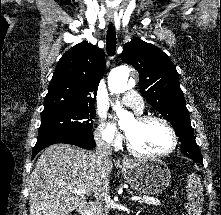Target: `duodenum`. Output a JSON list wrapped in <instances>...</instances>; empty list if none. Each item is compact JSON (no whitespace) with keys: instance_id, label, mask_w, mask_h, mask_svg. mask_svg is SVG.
<instances>
[{"instance_id":"410a0bca","label":"duodenum","mask_w":221,"mask_h":215,"mask_svg":"<svg viewBox=\"0 0 221 215\" xmlns=\"http://www.w3.org/2000/svg\"><path fill=\"white\" fill-rule=\"evenodd\" d=\"M95 206L93 203H87L84 205L81 211V215H94Z\"/></svg>"}]
</instances>
